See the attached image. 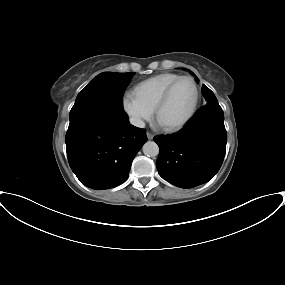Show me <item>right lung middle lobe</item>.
Masks as SVG:
<instances>
[{
    "instance_id": "1",
    "label": "right lung middle lobe",
    "mask_w": 285,
    "mask_h": 285,
    "mask_svg": "<svg viewBox=\"0 0 285 285\" xmlns=\"http://www.w3.org/2000/svg\"><path fill=\"white\" fill-rule=\"evenodd\" d=\"M133 75L134 72H103L97 75L78 94L75 104L70 111L69 119L94 107H103L116 112H124L122 97Z\"/></svg>"
}]
</instances>
